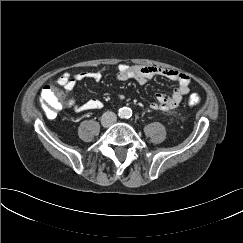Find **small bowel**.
Returning <instances> with one entry per match:
<instances>
[{
	"instance_id": "c3829d8e",
	"label": "small bowel",
	"mask_w": 243,
	"mask_h": 243,
	"mask_svg": "<svg viewBox=\"0 0 243 243\" xmlns=\"http://www.w3.org/2000/svg\"><path fill=\"white\" fill-rule=\"evenodd\" d=\"M158 76L176 82L177 87L170 95L157 93L155 101L150 104V108L162 111L175 109L190 92V78L185 73L158 66L128 65L125 63H120L117 66L116 79L118 81L134 79L140 84H145L148 80ZM83 79L99 82L102 79V71L81 72L75 75L64 73L57 79L56 84L72 93L77 83ZM120 98L123 97L120 96ZM68 104L73 107L75 112L98 110L103 107V102L99 99H90L81 105H77L75 99L71 98Z\"/></svg>"
}]
</instances>
